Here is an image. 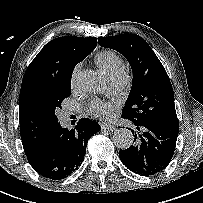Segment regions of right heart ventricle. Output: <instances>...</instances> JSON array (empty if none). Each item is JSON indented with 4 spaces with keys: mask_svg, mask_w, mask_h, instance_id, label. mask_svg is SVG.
<instances>
[{
    "mask_svg": "<svg viewBox=\"0 0 203 203\" xmlns=\"http://www.w3.org/2000/svg\"><path fill=\"white\" fill-rule=\"evenodd\" d=\"M94 61L98 68L106 75L123 70V60L113 50L105 49L99 51L95 55Z\"/></svg>",
    "mask_w": 203,
    "mask_h": 203,
    "instance_id": "right-heart-ventricle-1",
    "label": "right heart ventricle"
}]
</instances>
